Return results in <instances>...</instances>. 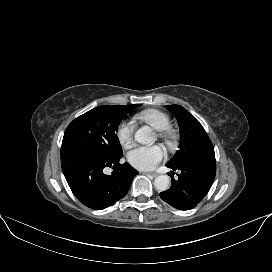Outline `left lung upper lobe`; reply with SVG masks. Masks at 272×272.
Segmentation results:
<instances>
[{
    "instance_id": "1",
    "label": "left lung upper lobe",
    "mask_w": 272,
    "mask_h": 272,
    "mask_svg": "<svg viewBox=\"0 0 272 272\" xmlns=\"http://www.w3.org/2000/svg\"><path fill=\"white\" fill-rule=\"evenodd\" d=\"M177 118L181 129L179 150L166 164L177 166L188 158L213 151V145L199 121L180 105H166Z\"/></svg>"
}]
</instances>
